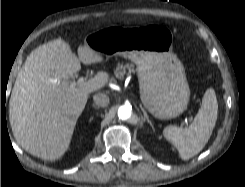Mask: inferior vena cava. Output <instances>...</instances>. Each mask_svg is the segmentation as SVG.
I'll return each mask as SVG.
<instances>
[{
	"label": "inferior vena cava",
	"instance_id": "obj_1",
	"mask_svg": "<svg viewBox=\"0 0 245 187\" xmlns=\"http://www.w3.org/2000/svg\"><path fill=\"white\" fill-rule=\"evenodd\" d=\"M94 103L99 107H105L109 104V97L104 93H97L93 96Z\"/></svg>",
	"mask_w": 245,
	"mask_h": 187
}]
</instances>
